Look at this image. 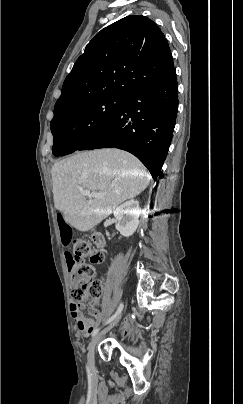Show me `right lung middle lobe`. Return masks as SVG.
Wrapping results in <instances>:
<instances>
[{"label": "right lung middle lobe", "mask_w": 243, "mask_h": 404, "mask_svg": "<svg viewBox=\"0 0 243 404\" xmlns=\"http://www.w3.org/2000/svg\"><path fill=\"white\" fill-rule=\"evenodd\" d=\"M125 98L104 97L73 107L54 117L52 153L64 156L78 150L117 113Z\"/></svg>", "instance_id": "dd1d6c3e"}]
</instances>
